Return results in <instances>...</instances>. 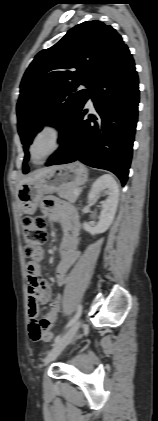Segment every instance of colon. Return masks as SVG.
<instances>
[{"instance_id": "colon-1", "label": "colon", "mask_w": 158, "mask_h": 421, "mask_svg": "<svg viewBox=\"0 0 158 421\" xmlns=\"http://www.w3.org/2000/svg\"><path fill=\"white\" fill-rule=\"evenodd\" d=\"M22 226L25 255L30 260H34L41 249V245L47 240L46 222L40 216L25 217ZM33 338L35 340L50 341L52 339V333L36 330L33 332Z\"/></svg>"}]
</instances>
